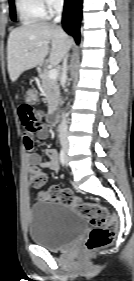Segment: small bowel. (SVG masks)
<instances>
[{
  "instance_id": "obj_1",
  "label": "small bowel",
  "mask_w": 134,
  "mask_h": 281,
  "mask_svg": "<svg viewBox=\"0 0 134 281\" xmlns=\"http://www.w3.org/2000/svg\"><path fill=\"white\" fill-rule=\"evenodd\" d=\"M18 115L24 126L23 139L29 169L46 168L52 172H57L59 169L60 158L55 149L47 148L45 150V153L49 158L45 162H43L41 156L34 151V134L41 140H44L49 136V128L42 122V112L36 110L33 105H28L24 102L18 107Z\"/></svg>"
}]
</instances>
